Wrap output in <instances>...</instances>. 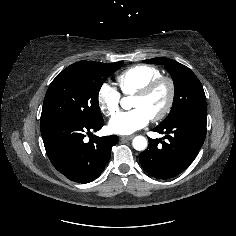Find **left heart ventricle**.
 I'll return each instance as SVG.
<instances>
[{
    "label": "left heart ventricle",
    "mask_w": 236,
    "mask_h": 236,
    "mask_svg": "<svg viewBox=\"0 0 236 236\" xmlns=\"http://www.w3.org/2000/svg\"><path fill=\"white\" fill-rule=\"evenodd\" d=\"M167 93V87L162 85L146 98L134 96L132 100V108L143 109L151 118L164 108L167 100Z\"/></svg>",
    "instance_id": "obj_1"
}]
</instances>
